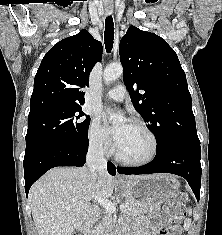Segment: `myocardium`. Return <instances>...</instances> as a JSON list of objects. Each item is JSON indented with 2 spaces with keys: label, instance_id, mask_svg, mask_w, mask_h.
<instances>
[{
  "label": "myocardium",
  "instance_id": "obj_1",
  "mask_svg": "<svg viewBox=\"0 0 222 235\" xmlns=\"http://www.w3.org/2000/svg\"><path fill=\"white\" fill-rule=\"evenodd\" d=\"M131 124L141 128L142 130H144L152 139L153 141V151L151 153V155L144 159V160H139V161H135V160H129L125 157H123L119 150H118V146L116 147L115 149V157L116 159L125 164V165H130V166H144V165H147L151 162H153L156 157L158 156V153H159V149H160V144H159V140H158V137L157 135L155 134V132L146 124L144 123L143 121L141 120H132Z\"/></svg>",
  "mask_w": 222,
  "mask_h": 235
}]
</instances>
